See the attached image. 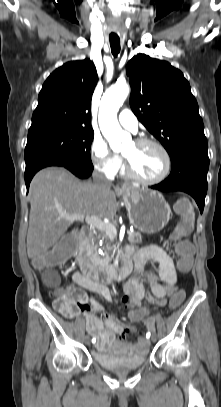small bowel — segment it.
<instances>
[{"label":"small bowel","mask_w":221,"mask_h":407,"mask_svg":"<svg viewBox=\"0 0 221 407\" xmlns=\"http://www.w3.org/2000/svg\"><path fill=\"white\" fill-rule=\"evenodd\" d=\"M127 254L133 259L134 274L125 285V296L121 299L126 310L131 309L132 305H142L141 301L144 298L159 306L168 303L170 308V293L178 289L177 271L171 257L162 248L154 245L138 250L129 248ZM147 265L152 267L156 265L159 276L144 271ZM68 290L77 295L78 301L65 316L72 318L78 314L83 315L86 330L95 338V347L98 351L134 355L147 350V342L142 337L135 344L125 342L126 335L134 332V326L119 322L111 313L106 312L94 297V294H100L106 301L112 300L109 289L103 283L75 271L72 274V285ZM98 313L103 314L104 324ZM128 319L136 322L129 317ZM144 324L148 325L149 322Z\"/></svg>","instance_id":"1"}]
</instances>
